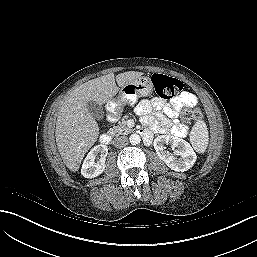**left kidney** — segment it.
<instances>
[{"instance_id":"1","label":"left kidney","mask_w":257,"mask_h":257,"mask_svg":"<svg viewBox=\"0 0 257 257\" xmlns=\"http://www.w3.org/2000/svg\"><path fill=\"white\" fill-rule=\"evenodd\" d=\"M171 145L174 154L169 153L164 145ZM154 149L160 159L172 170L184 172L189 170L195 163L197 156L191 145L178 137L170 135H161L154 140ZM175 155L180 156L177 159Z\"/></svg>"}]
</instances>
